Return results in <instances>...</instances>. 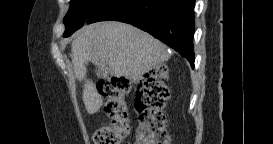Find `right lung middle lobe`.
<instances>
[{
	"label": "right lung middle lobe",
	"mask_w": 273,
	"mask_h": 144,
	"mask_svg": "<svg viewBox=\"0 0 273 144\" xmlns=\"http://www.w3.org/2000/svg\"><path fill=\"white\" fill-rule=\"evenodd\" d=\"M110 0H71L70 9L64 18L65 37L83 26L84 21L90 19L100 8Z\"/></svg>",
	"instance_id": "right-lung-middle-lobe-1"
}]
</instances>
